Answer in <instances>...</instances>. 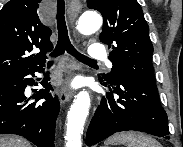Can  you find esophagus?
Masks as SVG:
<instances>
[{
  "label": "esophagus",
  "mask_w": 183,
  "mask_h": 147,
  "mask_svg": "<svg viewBox=\"0 0 183 147\" xmlns=\"http://www.w3.org/2000/svg\"><path fill=\"white\" fill-rule=\"evenodd\" d=\"M73 90L69 86V80L65 82V84L61 87L59 91V100L62 105L68 102L73 97Z\"/></svg>",
  "instance_id": "esophagus-1"
}]
</instances>
